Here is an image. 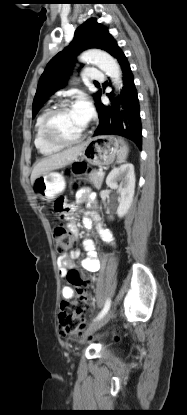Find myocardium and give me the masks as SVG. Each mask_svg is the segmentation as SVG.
<instances>
[{
  "instance_id": "1",
  "label": "myocardium",
  "mask_w": 187,
  "mask_h": 415,
  "mask_svg": "<svg viewBox=\"0 0 187 415\" xmlns=\"http://www.w3.org/2000/svg\"><path fill=\"white\" fill-rule=\"evenodd\" d=\"M69 107H71V103L69 101H61L57 103L54 107H52L44 118V121L42 124V133L46 141L52 145L61 146V147L74 145V144L79 143L86 135L88 124H86L85 128L79 135L71 139L62 138L58 136L53 130V122H54L55 117L61 111Z\"/></svg>"
}]
</instances>
